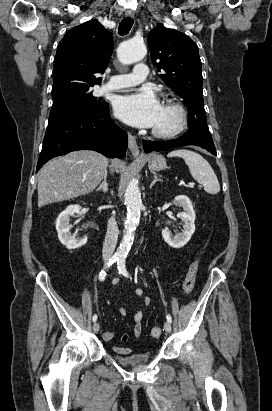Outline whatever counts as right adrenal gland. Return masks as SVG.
<instances>
[{
	"instance_id": "right-adrenal-gland-1",
	"label": "right adrenal gland",
	"mask_w": 272,
	"mask_h": 411,
	"mask_svg": "<svg viewBox=\"0 0 272 411\" xmlns=\"http://www.w3.org/2000/svg\"><path fill=\"white\" fill-rule=\"evenodd\" d=\"M100 190H103L104 193L108 192L107 173L104 174L103 182L96 189V191H100Z\"/></svg>"
}]
</instances>
